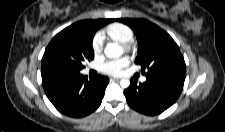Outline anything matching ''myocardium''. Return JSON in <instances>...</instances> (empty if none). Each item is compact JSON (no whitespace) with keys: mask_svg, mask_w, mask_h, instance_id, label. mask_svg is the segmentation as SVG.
Returning <instances> with one entry per match:
<instances>
[{"mask_svg":"<svg viewBox=\"0 0 225 132\" xmlns=\"http://www.w3.org/2000/svg\"><path fill=\"white\" fill-rule=\"evenodd\" d=\"M123 48H124V50H126V51H130V50H131V45H130V43H125V44H123Z\"/></svg>","mask_w":225,"mask_h":132,"instance_id":"1","label":"myocardium"}]
</instances>
